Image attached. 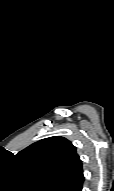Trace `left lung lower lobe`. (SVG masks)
I'll list each match as a JSON object with an SVG mask.
<instances>
[{
	"mask_svg": "<svg viewBox=\"0 0 114 191\" xmlns=\"http://www.w3.org/2000/svg\"><path fill=\"white\" fill-rule=\"evenodd\" d=\"M84 181L83 173L74 181L68 191H81Z\"/></svg>",
	"mask_w": 114,
	"mask_h": 191,
	"instance_id": "1",
	"label": "left lung lower lobe"
}]
</instances>
